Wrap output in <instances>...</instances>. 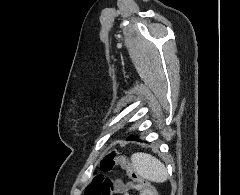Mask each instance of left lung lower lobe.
Wrapping results in <instances>:
<instances>
[{"mask_svg": "<svg viewBox=\"0 0 240 195\" xmlns=\"http://www.w3.org/2000/svg\"><path fill=\"white\" fill-rule=\"evenodd\" d=\"M129 139H131V140H137V137H136V136H133V137H131V138H129Z\"/></svg>", "mask_w": 240, "mask_h": 195, "instance_id": "1", "label": "left lung lower lobe"}]
</instances>
